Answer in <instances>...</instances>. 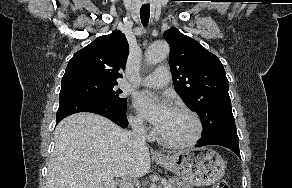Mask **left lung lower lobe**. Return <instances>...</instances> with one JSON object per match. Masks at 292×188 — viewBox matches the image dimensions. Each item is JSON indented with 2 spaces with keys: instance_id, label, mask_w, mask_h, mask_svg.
<instances>
[{
  "instance_id": "left-lung-lower-lobe-1",
  "label": "left lung lower lobe",
  "mask_w": 292,
  "mask_h": 188,
  "mask_svg": "<svg viewBox=\"0 0 292 188\" xmlns=\"http://www.w3.org/2000/svg\"><path fill=\"white\" fill-rule=\"evenodd\" d=\"M206 145H220L224 146L240 157L239 152V138L236 132L235 125L221 128L217 131L210 133L209 135L203 136L196 147ZM241 158V157H240Z\"/></svg>"
}]
</instances>
